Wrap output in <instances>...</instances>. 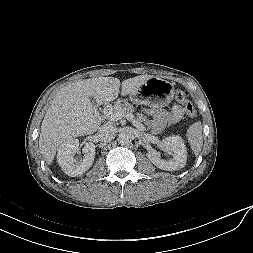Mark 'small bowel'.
<instances>
[{
  "label": "small bowel",
  "mask_w": 253,
  "mask_h": 253,
  "mask_svg": "<svg viewBox=\"0 0 253 253\" xmlns=\"http://www.w3.org/2000/svg\"><path fill=\"white\" fill-rule=\"evenodd\" d=\"M150 115L153 118L154 129L160 130L167 123H175L179 121L183 116V108L175 105L169 112L155 109L150 111Z\"/></svg>",
  "instance_id": "1"
}]
</instances>
